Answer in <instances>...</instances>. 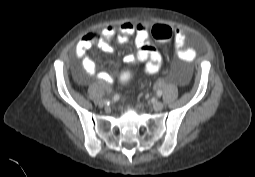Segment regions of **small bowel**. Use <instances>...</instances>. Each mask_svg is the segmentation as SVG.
Listing matches in <instances>:
<instances>
[{"label":"small bowel","instance_id":"obj_1","mask_svg":"<svg viewBox=\"0 0 255 177\" xmlns=\"http://www.w3.org/2000/svg\"><path fill=\"white\" fill-rule=\"evenodd\" d=\"M132 36L135 38L137 50L135 53L125 55L124 62L128 65L142 62L145 63V72L147 74L158 73L162 66V57L158 50L150 44V23L146 20L124 22L118 30L114 26L108 25L101 32H92L80 39L75 47V56L80 62L84 73L107 85L112 84L114 77L107 72L98 70L96 63L89 55V50L92 46L97 45L102 51L111 53L113 48L108 42L110 39L116 38L118 43L125 44ZM186 37L187 32L184 29H175L174 42L177 48V57L184 63H191L195 59L196 53L192 49L182 47ZM75 76L80 83L83 82L77 72H75Z\"/></svg>","mask_w":255,"mask_h":177}]
</instances>
